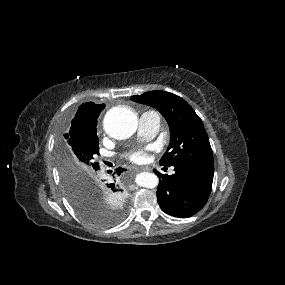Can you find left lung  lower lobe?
<instances>
[{"label": "left lung lower lobe", "mask_w": 285, "mask_h": 285, "mask_svg": "<svg viewBox=\"0 0 285 285\" xmlns=\"http://www.w3.org/2000/svg\"><path fill=\"white\" fill-rule=\"evenodd\" d=\"M159 178L157 200L167 214L179 218L191 217L206 204L213 182L214 166H175V174Z\"/></svg>", "instance_id": "0a47b994"}]
</instances>
